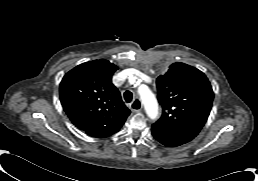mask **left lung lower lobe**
<instances>
[{
    "instance_id": "0a47b994",
    "label": "left lung lower lobe",
    "mask_w": 258,
    "mask_h": 181,
    "mask_svg": "<svg viewBox=\"0 0 258 181\" xmlns=\"http://www.w3.org/2000/svg\"><path fill=\"white\" fill-rule=\"evenodd\" d=\"M152 135L160 143L168 147H176L191 141L194 137L171 131L163 127L152 125Z\"/></svg>"
}]
</instances>
